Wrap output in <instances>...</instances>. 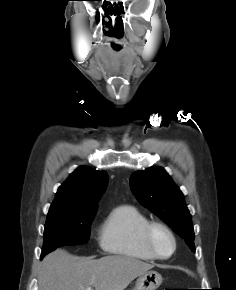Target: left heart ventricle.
I'll use <instances>...</instances> for the list:
<instances>
[{"label":"left heart ventricle","mask_w":236,"mask_h":290,"mask_svg":"<svg viewBox=\"0 0 236 290\" xmlns=\"http://www.w3.org/2000/svg\"><path fill=\"white\" fill-rule=\"evenodd\" d=\"M154 244L158 252L162 255H168L172 251V241L163 231L157 230L154 234Z\"/></svg>","instance_id":"left-heart-ventricle-1"}]
</instances>
